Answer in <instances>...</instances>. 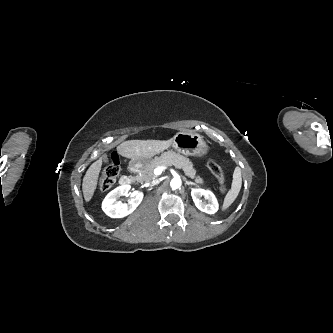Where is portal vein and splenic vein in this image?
Here are the masks:
<instances>
[{
	"label": "portal vein and splenic vein",
	"instance_id": "portal-vein-and-splenic-vein-1",
	"mask_svg": "<svg viewBox=\"0 0 333 333\" xmlns=\"http://www.w3.org/2000/svg\"><path fill=\"white\" fill-rule=\"evenodd\" d=\"M167 167L166 166H158L157 168H155L154 170V174L156 176L160 175Z\"/></svg>",
	"mask_w": 333,
	"mask_h": 333
}]
</instances>
